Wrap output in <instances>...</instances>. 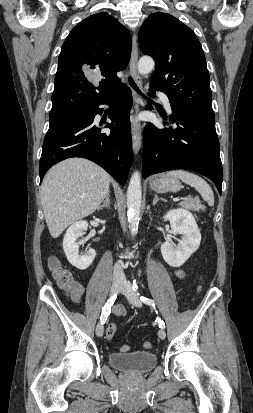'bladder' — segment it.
<instances>
[{"mask_svg":"<svg viewBox=\"0 0 253 413\" xmlns=\"http://www.w3.org/2000/svg\"><path fill=\"white\" fill-rule=\"evenodd\" d=\"M109 364L118 370L143 374L149 372L157 365V356L150 351H134L128 353H110Z\"/></svg>","mask_w":253,"mask_h":413,"instance_id":"obj_1","label":"bladder"}]
</instances>
